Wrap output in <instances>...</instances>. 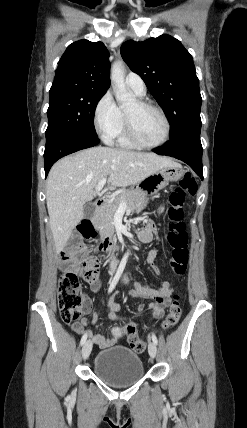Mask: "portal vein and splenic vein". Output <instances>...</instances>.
Listing matches in <instances>:
<instances>
[{"mask_svg": "<svg viewBox=\"0 0 247 428\" xmlns=\"http://www.w3.org/2000/svg\"><path fill=\"white\" fill-rule=\"evenodd\" d=\"M107 178H103L99 181L98 185H97V191L102 190V188L104 187V185L106 184ZM124 203V202H122Z\"/></svg>", "mask_w": 247, "mask_h": 428, "instance_id": "18ae733b", "label": "portal vein and splenic vein"}]
</instances>
